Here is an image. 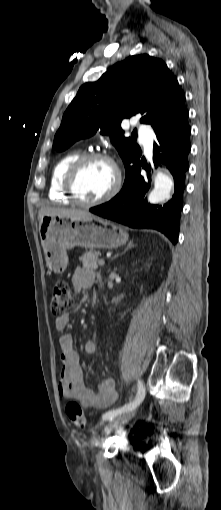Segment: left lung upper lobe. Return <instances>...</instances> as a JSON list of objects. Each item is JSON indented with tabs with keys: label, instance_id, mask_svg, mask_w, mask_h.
Here are the masks:
<instances>
[{
	"label": "left lung upper lobe",
	"instance_id": "1",
	"mask_svg": "<svg viewBox=\"0 0 221 510\" xmlns=\"http://www.w3.org/2000/svg\"><path fill=\"white\" fill-rule=\"evenodd\" d=\"M135 114L154 131L189 114L175 76L161 59L147 54L130 56L113 65L98 81L82 85L63 115L53 148L63 151L100 128L101 134L110 136L127 174L140 161L141 149L133 137H124L120 124Z\"/></svg>",
	"mask_w": 221,
	"mask_h": 510
}]
</instances>
